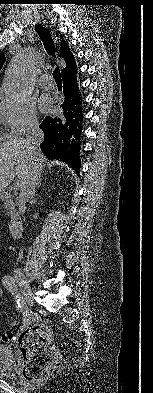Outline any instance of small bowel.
I'll return each mask as SVG.
<instances>
[{
  "mask_svg": "<svg viewBox=\"0 0 153 393\" xmlns=\"http://www.w3.org/2000/svg\"><path fill=\"white\" fill-rule=\"evenodd\" d=\"M2 296V288L0 287V297ZM18 308V307H17ZM13 334L11 331H5L2 335H1V340L4 342H8L9 340H11Z\"/></svg>",
  "mask_w": 153,
  "mask_h": 393,
  "instance_id": "obj_1",
  "label": "small bowel"
}]
</instances>
